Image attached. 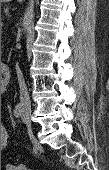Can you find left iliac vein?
<instances>
[{"label":"left iliac vein","mask_w":109,"mask_h":170,"mask_svg":"<svg viewBox=\"0 0 109 170\" xmlns=\"http://www.w3.org/2000/svg\"><path fill=\"white\" fill-rule=\"evenodd\" d=\"M22 121H23L24 123H28V122H29V120L25 117V115H23Z\"/></svg>","instance_id":"1"}]
</instances>
